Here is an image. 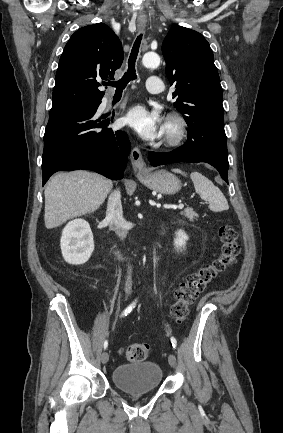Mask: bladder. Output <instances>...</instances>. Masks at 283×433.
<instances>
[{
  "instance_id": "1",
  "label": "bladder",
  "mask_w": 283,
  "mask_h": 433,
  "mask_svg": "<svg viewBox=\"0 0 283 433\" xmlns=\"http://www.w3.org/2000/svg\"><path fill=\"white\" fill-rule=\"evenodd\" d=\"M162 370L153 361H138L115 368L113 384L122 392L152 391L160 386Z\"/></svg>"
}]
</instances>
